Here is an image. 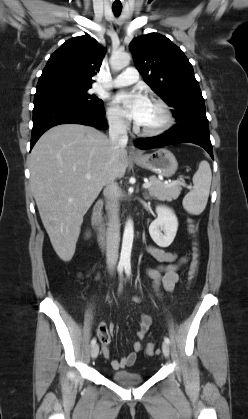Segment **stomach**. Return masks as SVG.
I'll return each mask as SVG.
<instances>
[{
	"label": "stomach",
	"instance_id": "0dacf381",
	"mask_svg": "<svg viewBox=\"0 0 248 419\" xmlns=\"http://www.w3.org/2000/svg\"><path fill=\"white\" fill-rule=\"evenodd\" d=\"M133 161L141 168L150 170L164 177L172 176L178 168V163L174 154L164 148L139 158H134Z\"/></svg>",
	"mask_w": 248,
	"mask_h": 419
}]
</instances>
